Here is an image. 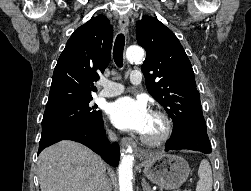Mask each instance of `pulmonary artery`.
<instances>
[{
    "label": "pulmonary artery",
    "instance_id": "obj_1",
    "mask_svg": "<svg viewBox=\"0 0 251 191\" xmlns=\"http://www.w3.org/2000/svg\"><path fill=\"white\" fill-rule=\"evenodd\" d=\"M131 83L137 85L142 81V74L138 70H134L130 73ZM98 84L101 88L99 95L102 97H112L123 93L124 86L117 82H112L106 78H100Z\"/></svg>",
    "mask_w": 251,
    "mask_h": 191
}]
</instances>
